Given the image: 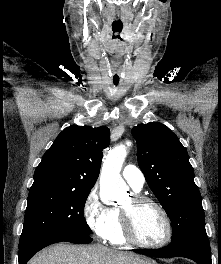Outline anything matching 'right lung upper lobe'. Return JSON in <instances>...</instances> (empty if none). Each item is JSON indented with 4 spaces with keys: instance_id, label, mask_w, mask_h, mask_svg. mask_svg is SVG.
<instances>
[{
    "instance_id": "1",
    "label": "right lung upper lobe",
    "mask_w": 221,
    "mask_h": 264,
    "mask_svg": "<svg viewBox=\"0 0 221 264\" xmlns=\"http://www.w3.org/2000/svg\"><path fill=\"white\" fill-rule=\"evenodd\" d=\"M109 136L107 127L71 126L63 130L37 166L30 191L91 190L99 176Z\"/></svg>"
}]
</instances>
